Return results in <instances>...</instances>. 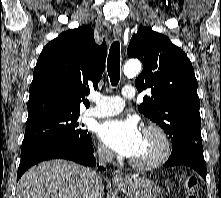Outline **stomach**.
Wrapping results in <instances>:
<instances>
[{
	"label": "stomach",
	"mask_w": 221,
	"mask_h": 198,
	"mask_svg": "<svg viewBox=\"0 0 221 198\" xmlns=\"http://www.w3.org/2000/svg\"><path fill=\"white\" fill-rule=\"evenodd\" d=\"M116 186L129 198H157L161 193L157 183L144 177L131 176Z\"/></svg>",
	"instance_id": "obj_1"
}]
</instances>
